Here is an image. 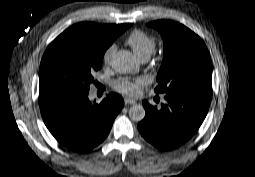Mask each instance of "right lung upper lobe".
Returning a JSON list of instances; mask_svg holds the SVG:
<instances>
[{"label": "right lung upper lobe", "instance_id": "cb5924a9", "mask_svg": "<svg viewBox=\"0 0 255 177\" xmlns=\"http://www.w3.org/2000/svg\"><path fill=\"white\" fill-rule=\"evenodd\" d=\"M121 25H106L93 22H82L71 26L70 30H77L91 35H97L104 38L116 37Z\"/></svg>", "mask_w": 255, "mask_h": 177}]
</instances>
